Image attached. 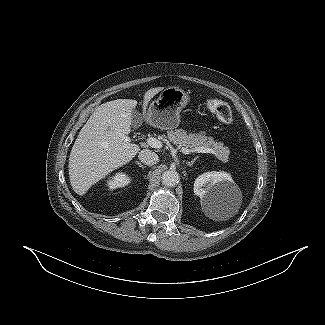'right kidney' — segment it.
Listing matches in <instances>:
<instances>
[{
  "mask_svg": "<svg viewBox=\"0 0 325 325\" xmlns=\"http://www.w3.org/2000/svg\"><path fill=\"white\" fill-rule=\"evenodd\" d=\"M131 182V177L124 172H118L107 180V186L110 190L125 187Z\"/></svg>",
  "mask_w": 325,
  "mask_h": 325,
  "instance_id": "1",
  "label": "right kidney"
}]
</instances>
